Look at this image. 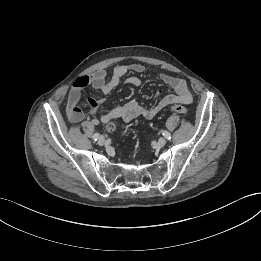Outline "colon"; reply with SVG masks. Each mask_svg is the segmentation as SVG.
<instances>
[{
    "instance_id": "colon-1",
    "label": "colon",
    "mask_w": 261,
    "mask_h": 261,
    "mask_svg": "<svg viewBox=\"0 0 261 261\" xmlns=\"http://www.w3.org/2000/svg\"><path fill=\"white\" fill-rule=\"evenodd\" d=\"M171 110L177 114H181V115H184V114H187L188 112V109L184 106V105H181V104H175L172 106ZM116 128V125L114 122H110L108 123L107 125V131L109 132H112L114 131Z\"/></svg>"
}]
</instances>
